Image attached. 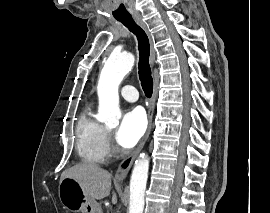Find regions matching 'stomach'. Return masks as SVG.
<instances>
[{
    "mask_svg": "<svg viewBox=\"0 0 270 213\" xmlns=\"http://www.w3.org/2000/svg\"><path fill=\"white\" fill-rule=\"evenodd\" d=\"M58 193L64 208L72 213H102L96 200L89 198L73 178H63Z\"/></svg>",
    "mask_w": 270,
    "mask_h": 213,
    "instance_id": "1",
    "label": "stomach"
}]
</instances>
